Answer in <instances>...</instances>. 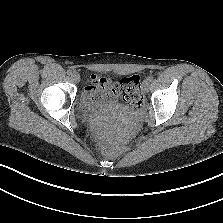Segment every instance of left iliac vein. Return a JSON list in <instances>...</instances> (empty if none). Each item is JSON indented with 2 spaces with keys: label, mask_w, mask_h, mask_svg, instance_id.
<instances>
[{
  "label": "left iliac vein",
  "mask_w": 223,
  "mask_h": 223,
  "mask_svg": "<svg viewBox=\"0 0 223 223\" xmlns=\"http://www.w3.org/2000/svg\"><path fill=\"white\" fill-rule=\"evenodd\" d=\"M142 91H143V93H147L149 91V81H147V80L143 81Z\"/></svg>",
  "instance_id": "4c4485c4"
}]
</instances>
